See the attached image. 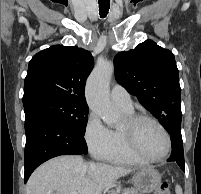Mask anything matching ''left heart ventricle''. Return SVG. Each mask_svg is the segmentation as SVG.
Here are the masks:
<instances>
[{
	"mask_svg": "<svg viewBox=\"0 0 201 194\" xmlns=\"http://www.w3.org/2000/svg\"><path fill=\"white\" fill-rule=\"evenodd\" d=\"M136 141L140 151L153 158L163 155L167 148L165 135L149 121H143L138 126Z\"/></svg>",
	"mask_w": 201,
	"mask_h": 194,
	"instance_id": "obj_1",
	"label": "left heart ventricle"
}]
</instances>
